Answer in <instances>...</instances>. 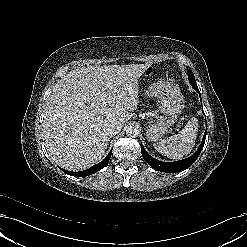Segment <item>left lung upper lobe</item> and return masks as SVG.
I'll list each match as a JSON object with an SVG mask.
<instances>
[{"label":"left lung upper lobe","instance_id":"5c2ea615","mask_svg":"<svg viewBox=\"0 0 247 247\" xmlns=\"http://www.w3.org/2000/svg\"><path fill=\"white\" fill-rule=\"evenodd\" d=\"M187 73H188V76H189L188 77L189 81L190 82H195V77H194L192 71L191 70H188Z\"/></svg>","mask_w":247,"mask_h":247}]
</instances>
